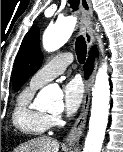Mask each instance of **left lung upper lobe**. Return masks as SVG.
<instances>
[{
  "instance_id": "1",
  "label": "left lung upper lobe",
  "mask_w": 123,
  "mask_h": 152,
  "mask_svg": "<svg viewBox=\"0 0 123 152\" xmlns=\"http://www.w3.org/2000/svg\"><path fill=\"white\" fill-rule=\"evenodd\" d=\"M42 60L39 31L36 27H32L25 35L16 57L12 80L15 91H18L40 68Z\"/></svg>"
}]
</instances>
